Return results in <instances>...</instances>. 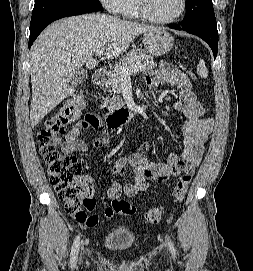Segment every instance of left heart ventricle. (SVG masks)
I'll return each instance as SVG.
<instances>
[{"label": "left heart ventricle", "instance_id": "1", "mask_svg": "<svg viewBox=\"0 0 253 271\" xmlns=\"http://www.w3.org/2000/svg\"><path fill=\"white\" fill-rule=\"evenodd\" d=\"M148 12L157 18H170L180 9V0H146Z\"/></svg>", "mask_w": 253, "mask_h": 271}]
</instances>
